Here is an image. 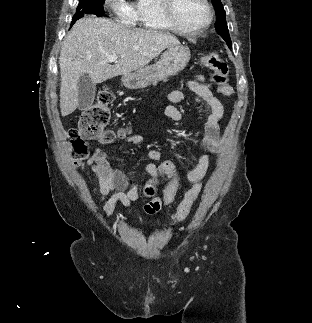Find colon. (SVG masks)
I'll list each match as a JSON object with an SVG mask.
<instances>
[{
	"label": "colon",
	"mask_w": 312,
	"mask_h": 323,
	"mask_svg": "<svg viewBox=\"0 0 312 323\" xmlns=\"http://www.w3.org/2000/svg\"><path fill=\"white\" fill-rule=\"evenodd\" d=\"M201 66L210 69L214 73V83L219 93L224 97L233 95V87L227 80L229 67L224 58L218 54H207L200 60ZM114 102V96L107 86H104L97 94L95 101L88 105L81 113L77 121V127L69 131L68 137L71 142V154L73 158H88V142L96 141L100 144H110L113 139L123 133L122 129H112L109 127L111 119V109ZM174 160H167L164 164H160L158 173L162 171L169 172L170 176L174 175ZM73 168L78 166L76 161L71 163ZM148 184H153L156 179L148 177L145 179ZM176 180H169L163 198L164 204H172L176 197ZM202 184H193L192 189H188L181 202L180 211L172 210V217H188L189 207L199 196L202 191ZM151 196L154 195L155 189L149 185L146 189ZM161 208L158 199L151 200L146 206L145 211L149 214L157 212ZM176 219V222L178 221Z\"/></svg>",
	"instance_id": "obj_1"
}]
</instances>
